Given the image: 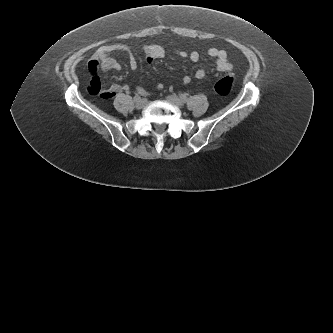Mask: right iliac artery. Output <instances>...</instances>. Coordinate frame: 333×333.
Here are the masks:
<instances>
[{
  "mask_svg": "<svg viewBox=\"0 0 333 333\" xmlns=\"http://www.w3.org/2000/svg\"><path fill=\"white\" fill-rule=\"evenodd\" d=\"M142 95V94H141ZM134 99H135V101H138V100H140L141 99V97H140V95L139 94H137L135 97H134Z\"/></svg>",
  "mask_w": 333,
  "mask_h": 333,
  "instance_id": "82829eb1",
  "label": "right iliac artery"
}]
</instances>
